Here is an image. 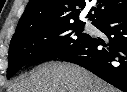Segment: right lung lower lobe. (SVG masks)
<instances>
[{
	"label": "right lung lower lobe",
	"mask_w": 127,
	"mask_h": 92,
	"mask_svg": "<svg viewBox=\"0 0 127 92\" xmlns=\"http://www.w3.org/2000/svg\"><path fill=\"white\" fill-rule=\"evenodd\" d=\"M93 25L106 39L89 38L57 58L78 64L113 86L127 92V9Z\"/></svg>",
	"instance_id": "1"
}]
</instances>
